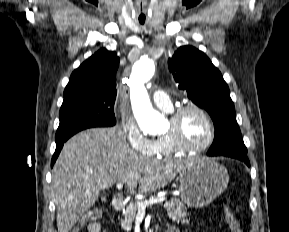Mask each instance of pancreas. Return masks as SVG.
Listing matches in <instances>:
<instances>
[{
  "instance_id": "obj_1",
  "label": "pancreas",
  "mask_w": 289,
  "mask_h": 232,
  "mask_svg": "<svg viewBox=\"0 0 289 232\" xmlns=\"http://www.w3.org/2000/svg\"><path fill=\"white\" fill-rule=\"evenodd\" d=\"M138 202L130 203L123 212L124 219L121 220L122 229L129 231L132 227V222L134 221L137 211ZM164 208L167 210L168 217L176 222L187 223L188 220L185 219L187 216L186 207L178 199H171L164 204Z\"/></svg>"
}]
</instances>
